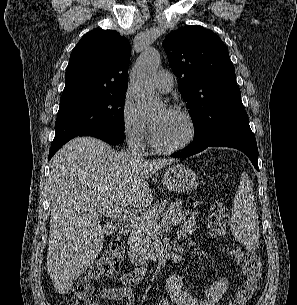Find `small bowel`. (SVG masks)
<instances>
[{
    "instance_id": "small-bowel-1",
    "label": "small bowel",
    "mask_w": 297,
    "mask_h": 305,
    "mask_svg": "<svg viewBox=\"0 0 297 305\" xmlns=\"http://www.w3.org/2000/svg\"><path fill=\"white\" fill-rule=\"evenodd\" d=\"M195 228V213L182 223L178 236L186 237L193 232ZM145 270L140 268L134 271L124 273L119 277L121 286L105 287L100 290L99 298L101 301H121L126 300L127 305H137V296L132 286L138 284L144 277ZM229 279L220 278L204 287L201 291V297L195 298L184 288V278L181 273H174L166 280V290L168 297L160 301L159 305H216L227 294L229 289Z\"/></svg>"
}]
</instances>
